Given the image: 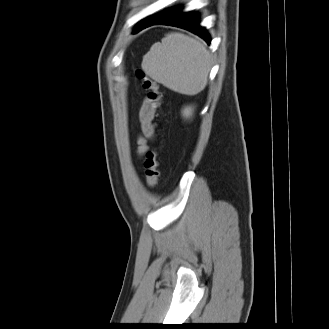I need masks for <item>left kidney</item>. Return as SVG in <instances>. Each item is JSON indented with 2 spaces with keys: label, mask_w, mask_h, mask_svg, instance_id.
<instances>
[{
  "label": "left kidney",
  "mask_w": 329,
  "mask_h": 329,
  "mask_svg": "<svg viewBox=\"0 0 329 329\" xmlns=\"http://www.w3.org/2000/svg\"><path fill=\"white\" fill-rule=\"evenodd\" d=\"M192 113H193L192 107H185L182 111L183 116L186 118L192 116Z\"/></svg>",
  "instance_id": "1"
}]
</instances>
